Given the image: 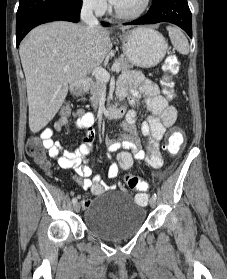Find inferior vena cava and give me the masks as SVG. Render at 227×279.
Masks as SVG:
<instances>
[{
    "mask_svg": "<svg viewBox=\"0 0 227 279\" xmlns=\"http://www.w3.org/2000/svg\"><path fill=\"white\" fill-rule=\"evenodd\" d=\"M94 4L91 1H85L81 10V19L89 27L99 26L98 19L93 14Z\"/></svg>",
    "mask_w": 227,
    "mask_h": 279,
    "instance_id": "inferior-vena-cava-1",
    "label": "inferior vena cava"
}]
</instances>
